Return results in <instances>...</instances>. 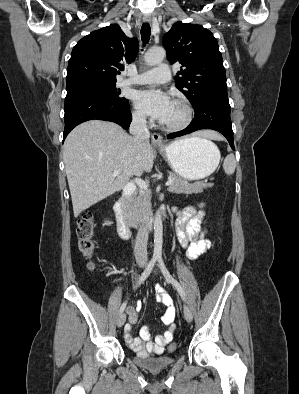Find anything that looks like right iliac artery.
Returning a JSON list of instances; mask_svg holds the SVG:
<instances>
[{
  "instance_id": "right-iliac-artery-1",
  "label": "right iliac artery",
  "mask_w": 299,
  "mask_h": 394,
  "mask_svg": "<svg viewBox=\"0 0 299 394\" xmlns=\"http://www.w3.org/2000/svg\"><path fill=\"white\" fill-rule=\"evenodd\" d=\"M156 260H157L156 256H153L151 258V260L149 261L146 269L144 270V272L142 273L141 277L139 278V281H138L136 286H139L141 283H143L146 280V278L150 275V273H151V271H152V269H153V267H154V265L156 263ZM125 308H126V301L122 303L119 312L122 313L125 310Z\"/></svg>"
}]
</instances>
